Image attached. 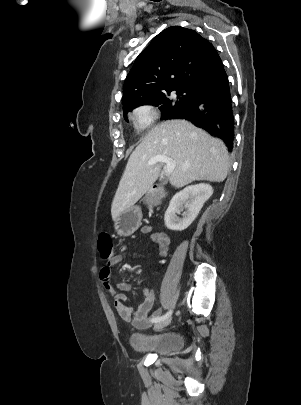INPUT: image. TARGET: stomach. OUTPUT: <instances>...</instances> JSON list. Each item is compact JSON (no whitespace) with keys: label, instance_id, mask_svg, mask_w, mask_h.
<instances>
[{"label":"stomach","instance_id":"stomach-1","mask_svg":"<svg viewBox=\"0 0 301 405\" xmlns=\"http://www.w3.org/2000/svg\"><path fill=\"white\" fill-rule=\"evenodd\" d=\"M141 212L139 209L130 208L120 214L114 227L121 236L132 234L140 225Z\"/></svg>","mask_w":301,"mask_h":405}]
</instances>
